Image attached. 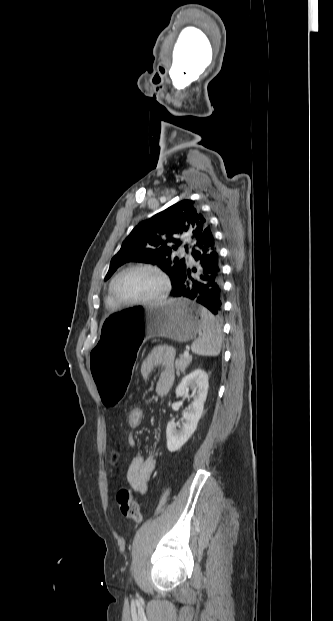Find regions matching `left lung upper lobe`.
Returning a JSON list of instances; mask_svg holds the SVG:
<instances>
[{"mask_svg": "<svg viewBox=\"0 0 333 621\" xmlns=\"http://www.w3.org/2000/svg\"><path fill=\"white\" fill-rule=\"evenodd\" d=\"M208 226V220L191 200H182L150 219L137 225L123 241L121 249L112 258L108 280L118 267L127 262H142L157 265L171 279L174 286L178 273L186 269L185 258H171L172 253L188 238L190 248ZM169 242L175 243L169 246ZM188 251V245L185 246Z\"/></svg>", "mask_w": 333, "mask_h": 621, "instance_id": "1", "label": "left lung upper lobe"}]
</instances>
